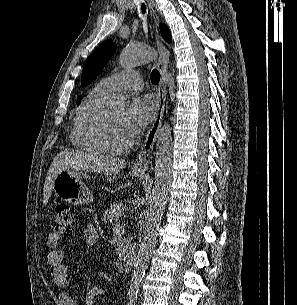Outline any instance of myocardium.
Wrapping results in <instances>:
<instances>
[{"label":"myocardium","mask_w":297,"mask_h":305,"mask_svg":"<svg viewBox=\"0 0 297 305\" xmlns=\"http://www.w3.org/2000/svg\"><path fill=\"white\" fill-rule=\"evenodd\" d=\"M96 130L101 144L109 152L122 153L129 150L133 145V139H130L123 144H117L112 140L110 132L109 111L107 110H105L99 118Z\"/></svg>","instance_id":"1"}]
</instances>
